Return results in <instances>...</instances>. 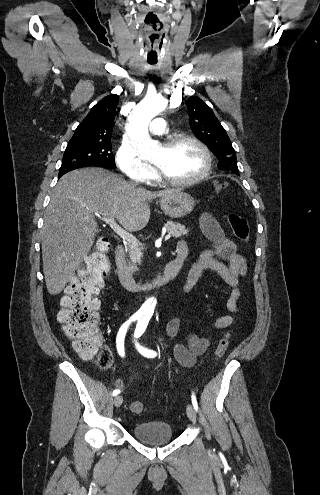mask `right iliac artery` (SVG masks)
<instances>
[{
    "instance_id": "right-iliac-artery-1",
    "label": "right iliac artery",
    "mask_w": 320,
    "mask_h": 495,
    "mask_svg": "<svg viewBox=\"0 0 320 495\" xmlns=\"http://www.w3.org/2000/svg\"><path fill=\"white\" fill-rule=\"evenodd\" d=\"M139 315L138 314H134L133 316H131L129 318V320H127L122 326L121 328L119 329L118 331V334H117V338H116V347H117V351L119 353L120 356L124 357L125 355V352H124V339H125V335H126V332H127V329L130 325L131 322L133 321H136L137 319H139ZM120 393V390L116 389L113 391V396L115 395H118Z\"/></svg>"
}]
</instances>
